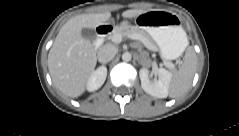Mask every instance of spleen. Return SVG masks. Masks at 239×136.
<instances>
[{"mask_svg": "<svg viewBox=\"0 0 239 136\" xmlns=\"http://www.w3.org/2000/svg\"><path fill=\"white\" fill-rule=\"evenodd\" d=\"M188 45V40H186ZM196 69V55L193 49L189 48L185 60L179 70L174 74L169 88L171 98L183 96L189 89Z\"/></svg>", "mask_w": 239, "mask_h": 136, "instance_id": "1", "label": "spleen"}]
</instances>
